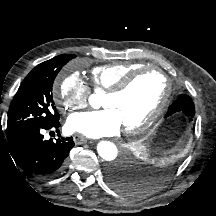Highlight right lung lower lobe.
Listing matches in <instances>:
<instances>
[{"label": "right lung lower lobe", "instance_id": "right-lung-lower-lobe-1", "mask_svg": "<svg viewBox=\"0 0 216 216\" xmlns=\"http://www.w3.org/2000/svg\"><path fill=\"white\" fill-rule=\"evenodd\" d=\"M59 126L58 120L44 127H30L7 132L6 144L16 164L40 179H48L60 173L66 165L70 150L74 147L73 138L46 141L42 135L44 129L58 131Z\"/></svg>", "mask_w": 216, "mask_h": 216}]
</instances>
